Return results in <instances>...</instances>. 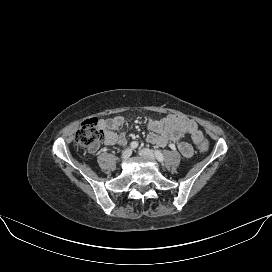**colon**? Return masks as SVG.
<instances>
[{"label":"colon","mask_w":272,"mask_h":272,"mask_svg":"<svg viewBox=\"0 0 272 272\" xmlns=\"http://www.w3.org/2000/svg\"><path fill=\"white\" fill-rule=\"evenodd\" d=\"M104 138V132L98 125V120L91 118L86 120L78 130L75 142L78 146L89 148L95 143H99ZM200 151L206 152L209 149L208 142L204 141L199 146Z\"/></svg>","instance_id":"5ec220e1"}]
</instances>
